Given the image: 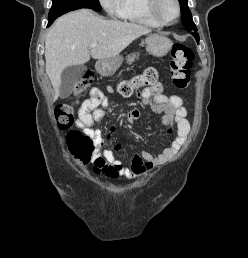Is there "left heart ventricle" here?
<instances>
[{"label":"left heart ventricle","mask_w":248,"mask_h":258,"mask_svg":"<svg viewBox=\"0 0 248 258\" xmlns=\"http://www.w3.org/2000/svg\"><path fill=\"white\" fill-rule=\"evenodd\" d=\"M156 8L158 14L165 20H172L176 15V7L173 0H158Z\"/></svg>","instance_id":"obj_1"}]
</instances>
